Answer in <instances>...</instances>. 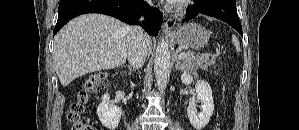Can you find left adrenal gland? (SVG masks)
I'll return each instance as SVG.
<instances>
[{"mask_svg": "<svg viewBox=\"0 0 299 130\" xmlns=\"http://www.w3.org/2000/svg\"><path fill=\"white\" fill-rule=\"evenodd\" d=\"M175 68L178 69V70H182L181 63H180L179 60L176 61Z\"/></svg>", "mask_w": 299, "mask_h": 130, "instance_id": "1", "label": "left adrenal gland"}]
</instances>
